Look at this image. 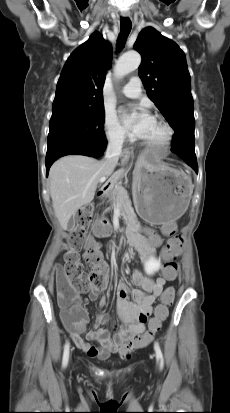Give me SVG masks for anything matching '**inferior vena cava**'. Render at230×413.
<instances>
[{
    "mask_svg": "<svg viewBox=\"0 0 230 413\" xmlns=\"http://www.w3.org/2000/svg\"><path fill=\"white\" fill-rule=\"evenodd\" d=\"M123 139V134L117 133L110 139L107 146L105 159L113 166H116L121 154Z\"/></svg>",
    "mask_w": 230,
    "mask_h": 413,
    "instance_id": "inferior-vena-cava-1",
    "label": "inferior vena cava"
}]
</instances>
